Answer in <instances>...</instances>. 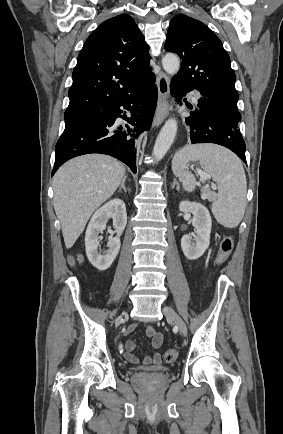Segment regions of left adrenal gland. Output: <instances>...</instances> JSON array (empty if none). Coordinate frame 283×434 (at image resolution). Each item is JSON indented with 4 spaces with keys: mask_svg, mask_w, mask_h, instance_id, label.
<instances>
[{
    "mask_svg": "<svg viewBox=\"0 0 283 434\" xmlns=\"http://www.w3.org/2000/svg\"><path fill=\"white\" fill-rule=\"evenodd\" d=\"M176 186V189H177V191L179 192L180 191V185H179V183L176 181V179H174V181H173V185H172V189H174V187Z\"/></svg>",
    "mask_w": 283,
    "mask_h": 434,
    "instance_id": "a2214340",
    "label": "left adrenal gland"
}]
</instances>
